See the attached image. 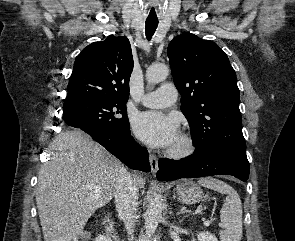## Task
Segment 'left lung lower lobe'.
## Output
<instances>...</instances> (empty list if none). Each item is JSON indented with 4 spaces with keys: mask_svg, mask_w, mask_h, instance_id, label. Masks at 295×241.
I'll return each instance as SVG.
<instances>
[{
    "mask_svg": "<svg viewBox=\"0 0 295 241\" xmlns=\"http://www.w3.org/2000/svg\"><path fill=\"white\" fill-rule=\"evenodd\" d=\"M158 166L157 178L163 181L226 174L245 182L249 177L247 157L224 150L193 153L182 160L162 158Z\"/></svg>",
    "mask_w": 295,
    "mask_h": 241,
    "instance_id": "obj_1",
    "label": "left lung lower lobe"
}]
</instances>
